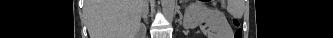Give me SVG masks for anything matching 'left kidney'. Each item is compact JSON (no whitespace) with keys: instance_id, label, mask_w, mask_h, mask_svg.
Segmentation results:
<instances>
[{"instance_id":"1","label":"left kidney","mask_w":333,"mask_h":38,"mask_svg":"<svg viewBox=\"0 0 333 38\" xmlns=\"http://www.w3.org/2000/svg\"><path fill=\"white\" fill-rule=\"evenodd\" d=\"M205 23L213 38H230L232 28L226 16L218 9L209 8L204 2L197 0L185 8L183 27L194 29L200 24Z\"/></svg>"}]
</instances>
